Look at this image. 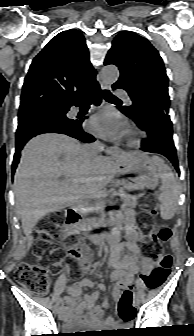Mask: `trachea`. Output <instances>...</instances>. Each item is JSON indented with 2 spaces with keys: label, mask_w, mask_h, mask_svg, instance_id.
<instances>
[{
  "label": "trachea",
  "mask_w": 194,
  "mask_h": 336,
  "mask_svg": "<svg viewBox=\"0 0 194 336\" xmlns=\"http://www.w3.org/2000/svg\"><path fill=\"white\" fill-rule=\"evenodd\" d=\"M102 95L104 97L105 100L107 101H112V100H119L118 98H116L114 95H112L110 93V91L108 90H103L102 91ZM91 101L90 100H87L86 103H90Z\"/></svg>",
  "instance_id": "3493384b"
}]
</instances>
